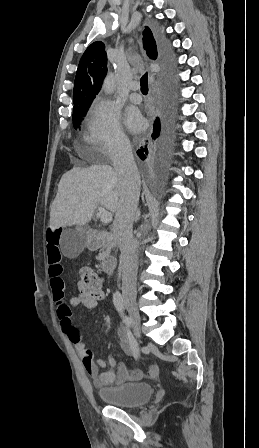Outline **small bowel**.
I'll return each instance as SVG.
<instances>
[{
	"instance_id": "small-bowel-1",
	"label": "small bowel",
	"mask_w": 259,
	"mask_h": 448,
	"mask_svg": "<svg viewBox=\"0 0 259 448\" xmlns=\"http://www.w3.org/2000/svg\"><path fill=\"white\" fill-rule=\"evenodd\" d=\"M61 234V228L54 227H49L46 233V256L53 300L56 304V312L61 329L74 344L76 351L81 356L82 364L88 375L91 377L94 386L102 388L106 385L137 381L145 377L155 378L159 373V368L156 364H152L146 372L138 369L128 370L125 365L117 363L112 355L107 357V361L103 359H94L92 352L86 348L79 330L73 324L71 307L82 306L86 309H94L104 299L105 295L103 292H100L97 295H84L78 293L71 297L68 303L64 301L65 284L61 277L63 272L61 262L62 254L60 250ZM117 337L124 354L127 356L134 355L132 345L127 338L123 326L118 327ZM107 364H109L114 371H104Z\"/></svg>"
}]
</instances>
